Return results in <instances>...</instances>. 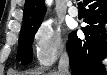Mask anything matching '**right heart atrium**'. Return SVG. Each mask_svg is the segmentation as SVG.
<instances>
[{"instance_id": "1", "label": "right heart atrium", "mask_w": 107, "mask_h": 75, "mask_svg": "<svg viewBox=\"0 0 107 75\" xmlns=\"http://www.w3.org/2000/svg\"><path fill=\"white\" fill-rule=\"evenodd\" d=\"M33 41L37 59L43 66H50L65 50L62 29L52 19H45L39 24Z\"/></svg>"}]
</instances>
